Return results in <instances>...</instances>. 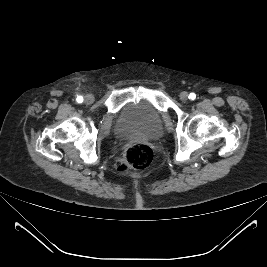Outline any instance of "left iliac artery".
I'll return each instance as SVG.
<instances>
[{
    "label": "left iliac artery",
    "mask_w": 267,
    "mask_h": 267,
    "mask_svg": "<svg viewBox=\"0 0 267 267\" xmlns=\"http://www.w3.org/2000/svg\"><path fill=\"white\" fill-rule=\"evenodd\" d=\"M195 97H196V95H195L194 93H190V95H189V99L194 100Z\"/></svg>",
    "instance_id": "1"
}]
</instances>
